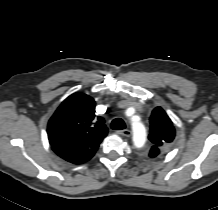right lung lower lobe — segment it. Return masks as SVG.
<instances>
[{
	"label": "right lung lower lobe",
	"instance_id": "obj_1",
	"mask_svg": "<svg viewBox=\"0 0 218 210\" xmlns=\"http://www.w3.org/2000/svg\"><path fill=\"white\" fill-rule=\"evenodd\" d=\"M53 151L64 160L73 164H82L93 157L95 153H79L68 149L52 147Z\"/></svg>",
	"mask_w": 218,
	"mask_h": 210
}]
</instances>
